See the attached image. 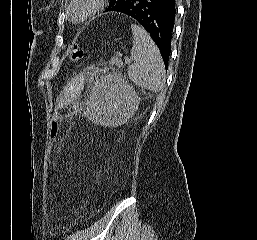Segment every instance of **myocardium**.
Instances as JSON below:
<instances>
[{"label": "myocardium", "instance_id": "1", "mask_svg": "<svg viewBox=\"0 0 257 240\" xmlns=\"http://www.w3.org/2000/svg\"><path fill=\"white\" fill-rule=\"evenodd\" d=\"M104 0H71L67 6V14L71 22L81 24L96 15L103 7ZM84 5L85 9L80 15L74 13L77 5Z\"/></svg>", "mask_w": 257, "mask_h": 240}]
</instances>
